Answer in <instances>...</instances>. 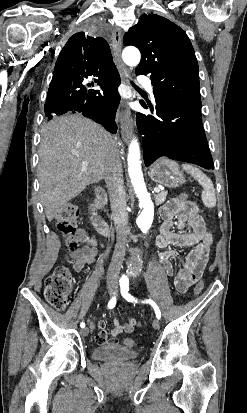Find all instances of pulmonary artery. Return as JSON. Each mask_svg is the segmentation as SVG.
<instances>
[{
    "label": "pulmonary artery",
    "mask_w": 247,
    "mask_h": 413,
    "mask_svg": "<svg viewBox=\"0 0 247 413\" xmlns=\"http://www.w3.org/2000/svg\"><path fill=\"white\" fill-rule=\"evenodd\" d=\"M138 83H139L140 85H146L147 89H148L150 92H152L153 89H154V85H153L152 80H151V78H150L149 76H148V77H145L143 80H140Z\"/></svg>",
    "instance_id": "pulmonary-artery-1"
}]
</instances>
